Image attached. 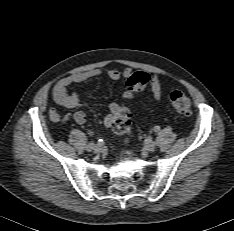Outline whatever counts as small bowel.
Returning <instances> with one entry per match:
<instances>
[{
	"mask_svg": "<svg viewBox=\"0 0 234 231\" xmlns=\"http://www.w3.org/2000/svg\"><path fill=\"white\" fill-rule=\"evenodd\" d=\"M102 74L101 69L94 68L82 72H77L68 76H65L57 81V83L53 87V98L55 102L63 106L65 108H74L78 106L81 100V92L80 91H72L69 92L68 88L75 84L84 82L95 77H98ZM107 75L110 79L114 81H119L120 79L128 78L131 76V70L125 69L124 71H120L118 69H109L107 71ZM150 87L152 94L155 99L159 100L162 95L161 82L157 76H153L150 82ZM121 106L117 102H112L109 105V112L104 117V124L107 127H113L114 123L117 119V116L120 112ZM49 116L52 121H59L61 118L60 113L56 109H51L49 112ZM72 119L78 123L82 124L85 122V114L82 111H77L73 113Z\"/></svg>",
	"mask_w": 234,
	"mask_h": 231,
	"instance_id": "1",
	"label": "small bowel"
}]
</instances>
